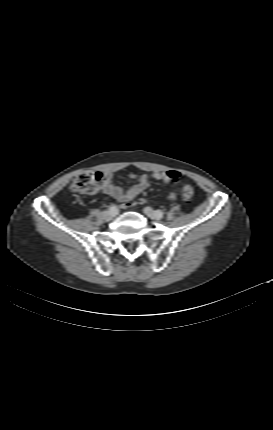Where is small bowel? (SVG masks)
<instances>
[{
	"mask_svg": "<svg viewBox=\"0 0 273 430\" xmlns=\"http://www.w3.org/2000/svg\"><path fill=\"white\" fill-rule=\"evenodd\" d=\"M152 178L158 181H162L165 184H173L179 180V174L175 171L167 172H155ZM132 179L136 180V183L128 189H123L113 182V176L110 172L103 173V178L101 184L98 186V191L105 193L117 201L121 202L123 206L129 201L133 200L139 194L149 187V177L146 174H130ZM169 198L173 199L175 194L170 191L168 193Z\"/></svg>",
	"mask_w": 273,
	"mask_h": 430,
	"instance_id": "obj_1",
	"label": "small bowel"
}]
</instances>
